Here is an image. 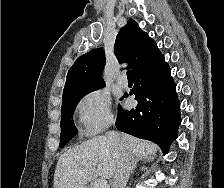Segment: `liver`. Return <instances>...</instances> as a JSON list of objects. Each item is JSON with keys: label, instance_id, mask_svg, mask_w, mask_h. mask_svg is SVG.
<instances>
[{"label": "liver", "instance_id": "obj_1", "mask_svg": "<svg viewBox=\"0 0 224 188\" xmlns=\"http://www.w3.org/2000/svg\"><path fill=\"white\" fill-rule=\"evenodd\" d=\"M132 156L155 155L158 146L127 134H120ZM119 150L105 135L94 137L68 149L58 159L54 188H87L88 182L100 176H114Z\"/></svg>", "mask_w": 224, "mask_h": 188}]
</instances>
